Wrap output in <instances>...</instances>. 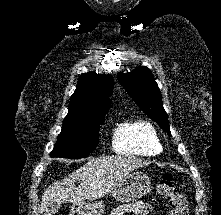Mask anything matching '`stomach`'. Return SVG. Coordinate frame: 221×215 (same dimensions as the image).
<instances>
[{
    "label": "stomach",
    "instance_id": "0dacf381",
    "mask_svg": "<svg viewBox=\"0 0 221 215\" xmlns=\"http://www.w3.org/2000/svg\"><path fill=\"white\" fill-rule=\"evenodd\" d=\"M151 187L147 174L142 172L130 173L113 191L112 197L119 202H133L145 196ZM105 206L102 201L97 203H74L71 215H103Z\"/></svg>",
    "mask_w": 221,
    "mask_h": 215
}]
</instances>
